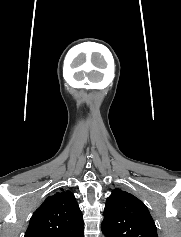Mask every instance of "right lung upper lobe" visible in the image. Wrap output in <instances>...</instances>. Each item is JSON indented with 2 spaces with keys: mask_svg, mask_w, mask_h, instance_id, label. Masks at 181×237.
<instances>
[{
  "mask_svg": "<svg viewBox=\"0 0 181 237\" xmlns=\"http://www.w3.org/2000/svg\"><path fill=\"white\" fill-rule=\"evenodd\" d=\"M82 212L71 191L61 189L34 212L25 237H82Z\"/></svg>",
  "mask_w": 181,
  "mask_h": 237,
  "instance_id": "right-lung-upper-lobe-1",
  "label": "right lung upper lobe"
}]
</instances>
